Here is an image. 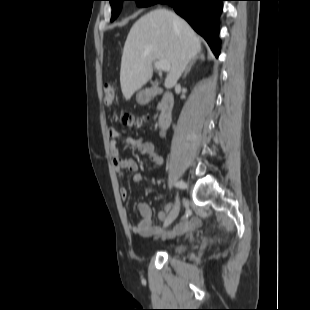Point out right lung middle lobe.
<instances>
[{"instance_id":"dd1d6c3e","label":"right lung middle lobe","mask_w":310,"mask_h":310,"mask_svg":"<svg viewBox=\"0 0 310 310\" xmlns=\"http://www.w3.org/2000/svg\"><path fill=\"white\" fill-rule=\"evenodd\" d=\"M109 1L112 7L111 21H113L117 18V16L120 13L123 1H136L138 6L143 7L154 4L156 0H109Z\"/></svg>"}]
</instances>
